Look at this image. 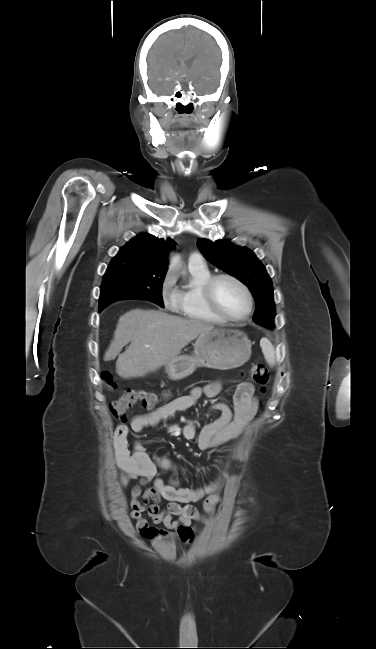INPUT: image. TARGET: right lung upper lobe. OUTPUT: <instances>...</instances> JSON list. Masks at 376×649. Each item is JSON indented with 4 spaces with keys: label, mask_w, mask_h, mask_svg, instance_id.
Masks as SVG:
<instances>
[{
    "label": "right lung upper lobe",
    "mask_w": 376,
    "mask_h": 649,
    "mask_svg": "<svg viewBox=\"0 0 376 649\" xmlns=\"http://www.w3.org/2000/svg\"><path fill=\"white\" fill-rule=\"evenodd\" d=\"M174 246L171 239L164 240L142 233L133 238L114 258H131L146 263L149 271L167 270V253Z\"/></svg>",
    "instance_id": "obj_1"
}]
</instances>
